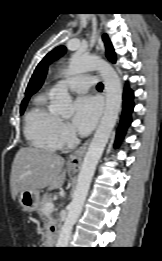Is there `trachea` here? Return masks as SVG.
<instances>
[{"label":"trachea","mask_w":162,"mask_h":261,"mask_svg":"<svg viewBox=\"0 0 162 261\" xmlns=\"http://www.w3.org/2000/svg\"><path fill=\"white\" fill-rule=\"evenodd\" d=\"M97 89L102 90L103 89V84L102 83H98Z\"/></svg>","instance_id":"obj_1"}]
</instances>
